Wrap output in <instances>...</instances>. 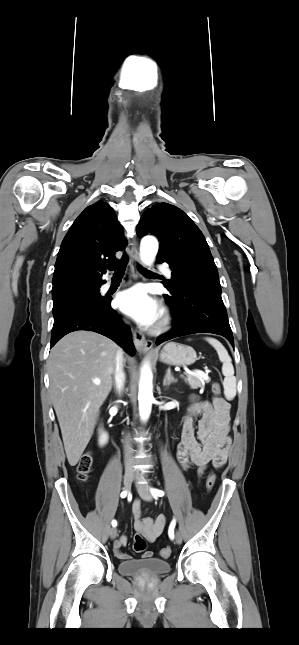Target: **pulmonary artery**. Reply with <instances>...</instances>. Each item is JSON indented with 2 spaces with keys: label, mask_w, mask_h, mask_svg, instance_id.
Wrapping results in <instances>:
<instances>
[{
  "label": "pulmonary artery",
  "mask_w": 299,
  "mask_h": 645,
  "mask_svg": "<svg viewBox=\"0 0 299 645\" xmlns=\"http://www.w3.org/2000/svg\"><path fill=\"white\" fill-rule=\"evenodd\" d=\"M159 268H160V270H161L164 274H166V275H167V276H169V277L171 276L172 271H171V269H170L167 265H161ZM110 286H111V283H110V282H107V283H105V284L103 285V289H104V290H107V289H109V287H110Z\"/></svg>",
  "instance_id": "e3ab8cb5"
}]
</instances>
